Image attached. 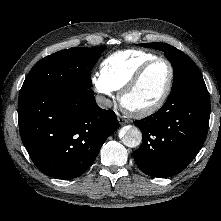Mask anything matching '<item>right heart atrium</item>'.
I'll return each mask as SVG.
<instances>
[{
    "label": "right heart atrium",
    "mask_w": 221,
    "mask_h": 221,
    "mask_svg": "<svg viewBox=\"0 0 221 221\" xmlns=\"http://www.w3.org/2000/svg\"><path fill=\"white\" fill-rule=\"evenodd\" d=\"M90 81L94 89L101 95L109 97L113 93V89L106 83L100 73H94L90 77Z\"/></svg>",
    "instance_id": "1"
}]
</instances>
